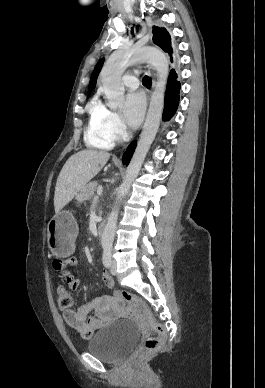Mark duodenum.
I'll return each instance as SVG.
<instances>
[{
	"mask_svg": "<svg viewBox=\"0 0 265 388\" xmlns=\"http://www.w3.org/2000/svg\"><path fill=\"white\" fill-rule=\"evenodd\" d=\"M107 222L106 220H102L98 225V234L99 236L103 235L106 229Z\"/></svg>",
	"mask_w": 265,
	"mask_h": 388,
	"instance_id": "1",
	"label": "duodenum"
}]
</instances>
